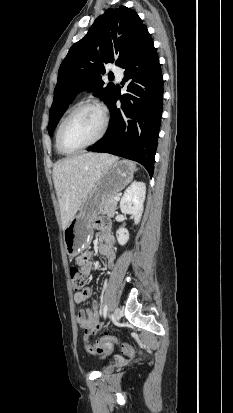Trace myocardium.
<instances>
[{
    "label": "myocardium",
    "mask_w": 233,
    "mask_h": 413,
    "mask_svg": "<svg viewBox=\"0 0 233 413\" xmlns=\"http://www.w3.org/2000/svg\"><path fill=\"white\" fill-rule=\"evenodd\" d=\"M84 108H95L97 109L101 116H102V126L100 129L99 134L89 143L78 147L76 149H67L64 144H63V132L65 130V127L67 126V124L70 122V120L82 109ZM108 124H109V119L106 113V110L104 109V107L95 101H83L79 104H77L68 114L67 116L64 118V120L62 121L58 133H57V145L59 150L61 151V153L63 154H74L77 152H80L84 149H87L89 147H91L92 145L96 144L97 142H99L105 135L107 129H108Z\"/></svg>",
    "instance_id": "obj_1"
}]
</instances>
